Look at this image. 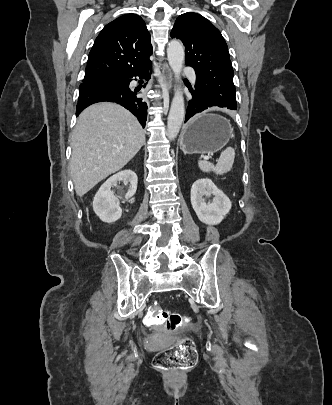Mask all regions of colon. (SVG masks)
<instances>
[{
	"label": "colon",
	"instance_id": "colon-1",
	"mask_svg": "<svg viewBox=\"0 0 332 405\" xmlns=\"http://www.w3.org/2000/svg\"><path fill=\"white\" fill-rule=\"evenodd\" d=\"M146 328L165 327L169 332L188 328L192 325V317L178 313H170L162 307H151L145 316ZM197 361L194 342L185 338L181 343L159 351L154 357V365L162 370L178 371L192 368Z\"/></svg>",
	"mask_w": 332,
	"mask_h": 405
}]
</instances>
